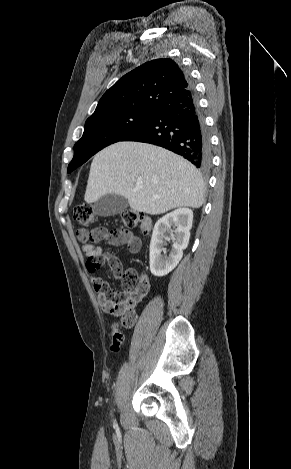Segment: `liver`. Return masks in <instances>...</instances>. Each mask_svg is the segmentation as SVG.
I'll return each mask as SVG.
<instances>
[{"instance_id":"1","label":"liver","mask_w":291,"mask_h":469,"mask_svg":"<svg viewBox=\"0 0 291 469\" xmlns=\"http://www.w3.org/2000/svg\"><path fill=\"white\" fill-rule=\"evenodd\" d=\"M205 190L201 174L184 158L151 144L117 142L95 155L84 200L93 203L114 193L125 197L132 210L158 215L200 208Z\"/></svg>"}]
</instances>
